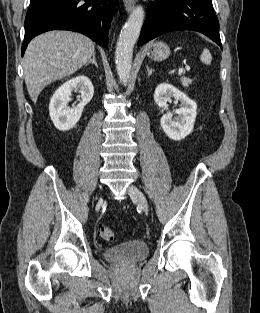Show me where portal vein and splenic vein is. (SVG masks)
Returning a JSON list of instances; mask_svg holds the SVG:
<instances>
[{
	"label": "portal vein and splenic vein",
	"mask_w": 260,
	"mask_h": 313,
	"mask_svg": "<svg viewBox=\"0 0 260 313\" xmlns=\"http://www.w3.org/2000/svg\"><path fill=\"white\" fill-rule=\"evenodd\" d=\"M186 69L189 70L190 68L187 67ZM183 73H184V70H183V69H179V70H178V74H179V75H182Z\"/></svg>",
	"instance_id": "18ae733b"
}]
</instances>
